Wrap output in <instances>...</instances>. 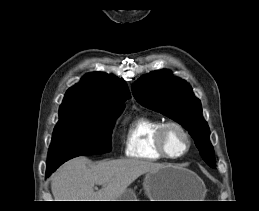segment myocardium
Here are the masks:
<instances>
[{
    "instance_id": "myocardium-1",
    "label": "myocardium",
    "mask_w": 259,
    "mask_h": 211,
    "mask_svg": "<svg viewBox=\"0 0 259 211\" xmlns=\"http://www.w3.org/2000/svg\"><path fill=\"white\" fill-rule=\"evenodd\" d=\"M171 127L178 129L186 140L185 149L178 155L170 154L166 147L165 133ZM191 144H192V139H191V136H190L188 130L181 123H179L177 121L163 122L157 130L156 147L159 150V152L167 159L176 160V159L182 158L189 152V150L191 148Z\"/></svg>"
}]
</instances>
